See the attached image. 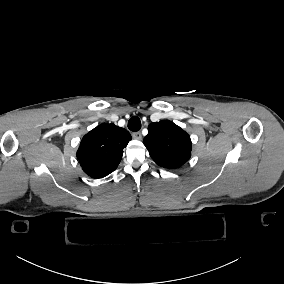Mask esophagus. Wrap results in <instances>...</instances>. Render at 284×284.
I'll return each mask as SVG.
<instances>
[{
	"mask_svg": "<svg viewBox=\"0 0 284 284\" xmlns=\"http://www.w3.org/2000/svg\"><path fill=\"white\" fill-rule=\"evenodd\" d=\"M132 137H133L134 139H137V140H141V139H142V135H141L140 132H134V133H132Z\"/></svg>",
	"mask_w": 284,
	"mask_h": 284,
	"instance_id": "obj_1",
	"label": "esophagus"
}]
</instances>
